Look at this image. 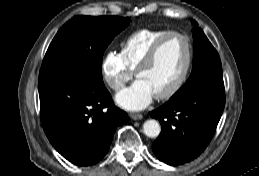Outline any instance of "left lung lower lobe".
Returning a JSON list of instances; mask_svg holds the SVG:
<instances>
[{
  "label": "left lung lower lobe",
  "mask_w": 259,
  "mask_h": 176,
  "mask_svg": "<svg viewBox=\"0 0 259 176\" xmlns=\"http://www.w3.org/2000/svg\"><path fill=\"white\" fill-rule=\"evenodd\" d=\"M224 106V91L203 88L150 112L162 127L153 143L156 157L169 165L197 158L211 141Z\"/></svg>",
  "instance_id": "0a47b994"
}]
</instances>
